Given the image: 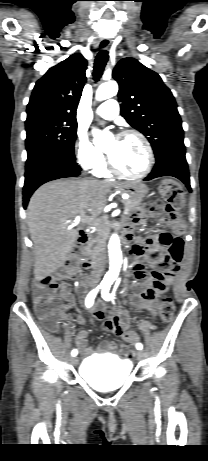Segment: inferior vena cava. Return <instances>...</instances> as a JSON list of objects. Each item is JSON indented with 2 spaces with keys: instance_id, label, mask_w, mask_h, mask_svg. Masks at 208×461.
<instances>
[{
  "instance_id": "602c4592",
  "label": "inferior vena cava",
  "mask_w": 208,
  "mask_h": 461,
  "mask_svg": "<svg viewBox=\"0 0 208 461\" xmlns=\"http://www.w3.org/2000/svg\"><path fill=\"white\" fill-rule=\"evenodd\" d=\"M105 258H106V254H105V249L104 248H101L99 250V254H98V259L96 260L94 266H93V270L91 272V277L95 280H99L100 279V276L104 270V266H105Z\"/></svg>"
}]
</instances>
